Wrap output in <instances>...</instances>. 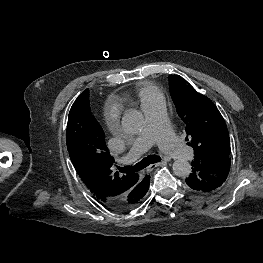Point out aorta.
I'll return each instance as SVG.
<instances>
[{"label":"aorta","instance_id":"obj_1","mask_svg":"<svg viewBox=\"0 0 263 263\" xmlns=\"http://www.w3.org/2000/svg\"><path fill=\"white\" fill-rule=\"evenodd\" d=\"M122 127L129 135L139 134L144 127V117L141 113L133 110L125 112L122 118ZM173 173L178 177H187L191 172V165L184 159H178L173 163Z\"/></svg>","mask_w":263,"mask_h":263}]
</instances>
